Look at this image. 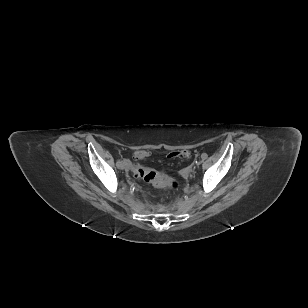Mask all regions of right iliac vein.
Instances as JSON below:
<instances>
[{
  "label": "right iliac vein",
  "instance_id": "63e3f726",
  "mask_svg": "<svg viewBox=\"0 0 308 308\" xmlns=\"http://www.w3.org/2000/svg\"><path fill=\"white\" fill-rule=\"evenodd\" d=\"M119 169H125L126 168V165L125 163L121 162V164L118 166Z\"/></svg>",
  "mask_w": 308,
  "mask_h": 308
}]
</instances>
